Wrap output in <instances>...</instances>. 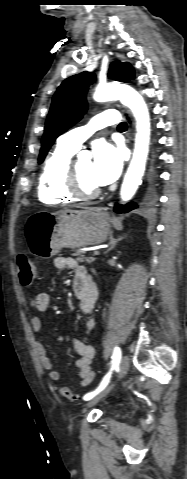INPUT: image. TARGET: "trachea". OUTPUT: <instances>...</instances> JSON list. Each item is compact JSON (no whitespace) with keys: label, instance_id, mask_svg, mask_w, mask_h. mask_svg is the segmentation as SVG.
Returning <instances> with one entry per match:
<instances>
[{"label":"trachea","instance_id":"1","mask_svg":"<svg viewBox=\"0 0 187 479\" xmlns=\"http://www.w3.org/2000/svg\"><path fill=\"white\" fill-rule=\"evenodd\" d=\"M127 125L125 122H121L119 125H118V129H126Z\"/></svg>","mask_w":187,"mask_h":479}]
</instances>
